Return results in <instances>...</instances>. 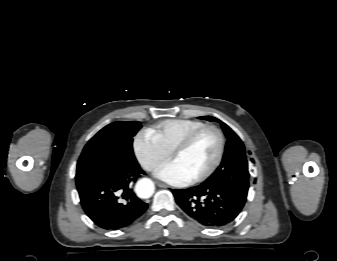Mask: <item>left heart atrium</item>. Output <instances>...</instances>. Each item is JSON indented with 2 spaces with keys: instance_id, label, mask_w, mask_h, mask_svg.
I'll use <instances>...</instances> for the list:
<instances>
[{
  "instance_id": "39dd6f15",
  "label": "left heart atrium",
  "mask_w": 337,
  "mask_h": 261,
  "mask_svg": "<svg viewBox=\"0 0 337 261\" xmlns=\"http://www.w3.org/2000/svg\"><path fill=\"white\" fill-rule=\"evenodd\" d=\"M155 174L159 179L175 186L187 185L193 179L176 160L164 164Z\"/></svg>"
}]
</instances>
